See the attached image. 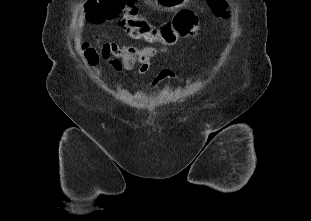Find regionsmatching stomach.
<instances>
[{
	"instance_id": "stomach-1",
	"label": "stomach",
	"mask_w": 311,
	"mask_h": 221,
	"mask_svg": "<svg viewBox=\"0 0 311 221\" xmlns=\"http://www.w3.org/2000/svg\"><path fill=\"white\" fill-rule=\"evenodd\" d=\"M152 6H155L157 10H174V8H179L183 6L184 2L187 0H149Z\"/></svg>"
}]
</instances>
